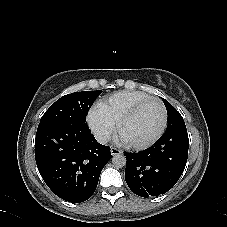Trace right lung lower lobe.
Returning <instances> with one entry per match:
<instances>
[{"instance_id":"1","label":"right lung lower lobe","mask_w":227,"mask_h":227,"mask_svg":"<svg viewBox=\"0 0 227 227\" xmlns=\"http://www.w3.org/2000/svg\"><path fill=\"white\" fill-rule=\"evenodd\" d=\"M35 159L55 195L80 203L93 195L111 152L110 147L96 141L87 123H39Z\"/></svg>"}]
</instances>
